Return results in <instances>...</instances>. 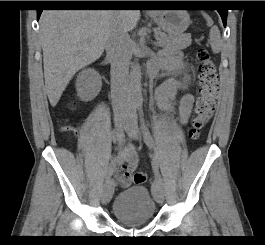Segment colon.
<instances>
[{"label": "colon", "instance_id": "colon-1", "mask_svg": "<svg viewBox=\"0 0 265 245\" xmlns=\"http://www.w3.org/2000/svg\"><path fill=\"white\" fill-rule=\"evenodd\" d=\"M197 61L200 87L189 129V137L192 140H197L200 137L201 131L213 116L219 94L217 67L210 54L200 48L197 52ZM146 180L145 173L139 172L133 175L135 184H142Z\"/></svg>", "mask_w": 265, "mask_h": 245}]
</instances>
